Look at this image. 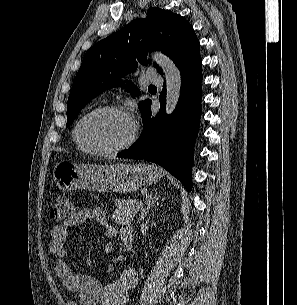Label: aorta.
Segmentation results:
<instances>
[{
    "label": "aorta",
    "mask_w": 297,
    "mask_h": 305,
    "mask_svg": "<svg viewBox=\"0 0 297 305\" xmlns=\"http://www.w3.org/2000/svg\"><path fill=\"white\" fill-rule=\"evenodd\" d=\"M151 57L161 67L166 79V113L169 115L174 111L180 97L181 73L174 62L161 52H153Z\"/></svg>",
    "instance_id": "obj_1"
}]
</instances>
